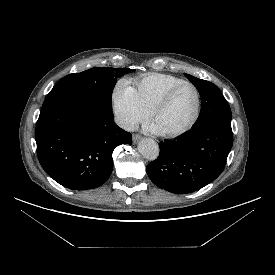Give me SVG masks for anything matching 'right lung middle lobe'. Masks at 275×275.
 I'll return each mask as SVG.
<instances>
[{
    "instance_id": "obj_1",
    "label": "right lung middle lobe",
    "mask_w": 275,
    "mask_h": 275,
    "mask_svg": "<svg viewBox=\"0 0 275 275\" xmlns=\"http://www.w3.org/2000/svg\"><path fill=\"white\" fill-rule=\"evenodd\" d=\"M132 71L134 69L102 67L69 74L57 82L46 101L81 97L112 110V91L117 78Z\"/></svg>"
}]
</instances>
